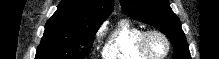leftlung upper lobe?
Here are the masks:
<instances>
[{
	"instance_id": "obj_1",
	"label": "left lung upper lobe",
	"mask_w": 219,
	"mask_h": 59,
	"mask_svg": "<svg viewBox=\"0 0 219 59\" xmlns=\"http://www.w3.org/2000/svg\"><path fill=\"white\" fill-rule=\"evenodd\" d=\"M120 4L131 18L156 27L169 38L173 59H191L181 22L168 0H120Z\"/></svg>"
}]
</instances>
